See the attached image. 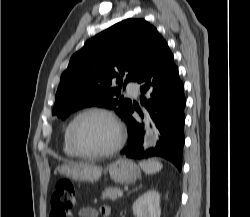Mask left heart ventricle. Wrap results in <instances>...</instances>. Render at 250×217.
Masks as SVG:
<instances>
[{
    "instance_id": "obj_1",
    "label": "left heart ventricle",
    "mask_w": 250,
    "mask_h": 217,
    "mask_svg": "<svg viewBox=\"0 0 250 217\" xmlns=\"http://www.w3.org/2000/svg\"><path fill=\"white\" fill-rule=\"evenodd\" d=\"M73 135L78 147L88 153L103 151L115 141L114 126L101 114H88L79 119Z\"/></svg>"
}]
</instances>
